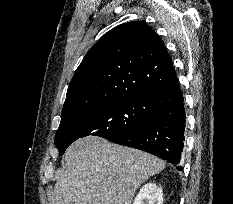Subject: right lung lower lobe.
<instances>
[{
  "mask_svg": "<svg viewBox=\"0 0 233 204\" xmlns=\"http://www.w3.org/2000/svg\"><path fill=\"white\" fill-rule=\"evenodd\" d=\"M150 106L154 118L142 127L122 133L111 142L136 148L177 165L184 146L185 108L178 79L153 92Z\"/></svg>",
  "mask_w": 233,
  "mask_h": 204,
  "instance_id": "1",
  "label": "right lung lower lobe"
}]
</instances>
